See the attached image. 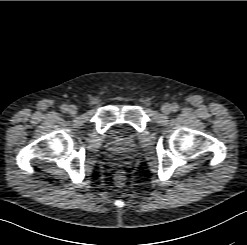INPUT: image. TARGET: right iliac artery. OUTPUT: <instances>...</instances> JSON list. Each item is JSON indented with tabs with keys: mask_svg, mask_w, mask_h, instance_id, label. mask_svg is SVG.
I'll use <instances>...</instances> for the list:
<instances>
[{
	"mask_svg": "<svg viewBox=\"0 0 247 245\" xmlns=\"http://www.w3.org/2000/svg\"><path fill=\"white\" fill-rule=\"evenodd\" d=\"M61 110H62L63 112L68 111V106H67L66 104H63V105L61 106Z\"/></svg>",
	"mask_w": 247,
	"mask_h": 245,
	"instance_id": "obj_1",
	"label": "right iliac artery"
}]
</instances>
